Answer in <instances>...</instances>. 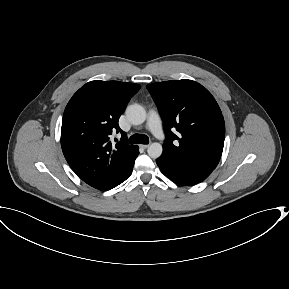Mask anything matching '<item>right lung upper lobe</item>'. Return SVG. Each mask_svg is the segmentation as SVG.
Listing matches in <instances>:
<instances>
[{
    "label": "right lung upper lobe",
    "mask_w": 289,
    "mask_h": 289,
    "mask_svg": "<svg viewBox=\"0 0 289 289\" xmlns=\"http://www.w3.org/2000/svg\"><path fill=\"white\" fill-rule=\"evenodd\" d=\"M140 85L119 81H91L67 104L61 128L63 154L74 172L87 184L109 190L129 168L138 146L124 140L112 145L119 117Z\"/></svg>",
    "instance_id": "right-lung-upper-lobe-1"
}]
</instances>
